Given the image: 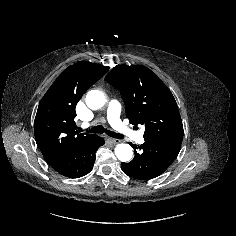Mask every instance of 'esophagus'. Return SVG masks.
<instances>
[{"instance_id":"obj_1","label":"esophagus","mask_w":236,"mask_h":236,"mask_svg":"<svg viewBox=\"0 0 236 236\" xmlns=\"http://www.w3.org/2000/svg\"><path fill=\"white\" fill-rule=\"evenodd\" d=\"M108 140H109V142H111L112 144H117V143H119V140H118V139L109 138Z\"/></svg>"}]
</instances>
